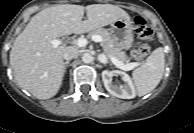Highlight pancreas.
<instances>
[{
	"label": "pancreas",
	"mask_w": 194,
	"mask_h": 133,
	"mask_svg": "<svg viewBox=\"0 0 194 133\" xmlns=\"http://www.w3.org/2000/svg\"><path fill=\"white\" fill-rule=\"evenodd\" d=\"M93 35H100L103 39L101 42V46L103 47L104 53L110 57L113 56L117 58L119 61L127 62L126 54L122 49L116 44L114 38L111 34L103 28H97L89 32V37Z\"/></svg>",
	"instance_id": "cf45deb5"
}]
</instances>
